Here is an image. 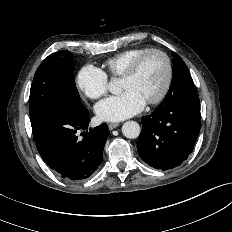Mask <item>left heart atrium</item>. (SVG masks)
<instances>
[{"label": "left heart atrium", "instance_id": "1", "mask_svg": "<svg viewBox=\"0 0 232 232\" xmlns=\"http://www.w3.org/2000/svg\"><path fill=\"white\" fill-rule=\"evenodd\" d=\"M145 103L135 92L126 90L120 95L111 96L99 102L95 111L100 120L117 122L139 113Z\"/></svg>", "mask_w": 232, "mask_h": 232}]
</instances>
